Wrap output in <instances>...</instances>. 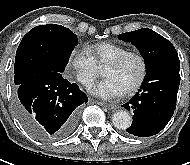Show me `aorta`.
Here are the masks:
<instances>
[{
  "mask_svg": "<svg viewBox=\"0 0 190 165\" xmlns=\"http://www.w3.org/2000/svg\"><path fill=\"white\" fill-rule=\"evenodd\" d=\"M112 122L117 129L125 130L130 127L132 118L127 111L120 110L113 115Z\"/></svg>",
  "mask_w": 190,
  "mask_h": 165,
  "instance_id": "aorta-1",
  "label": "aorta"
}]
</instances>
